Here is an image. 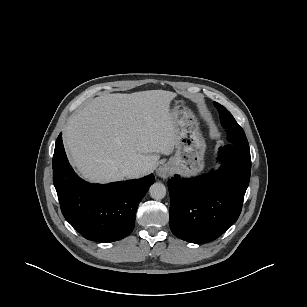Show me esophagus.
<instances>
[{"label":"esophagus","instance_id":"esophagus-1","mask_svg":"<svg viewBox=\"0 0 307 307\" xmlns=\"http://www.w3.org/2000/svg\"><path fill=\"white\" fill-rule=\"evenodd\" d=\"M171 174V168L168 164H163L159 166L156 171V175L160 178H167Z\"/></svg>","mask_w":307,"mask_h":307}]
</instances>
